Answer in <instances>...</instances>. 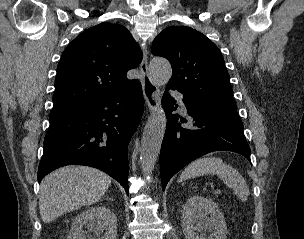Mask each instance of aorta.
I'll use <instances>...</instances> for the list:
<instances>
[{"instance_id": "obj_1", "label": "aorta", "mask_w": 304, "mask_h": 239, "mask_svg": "<svg viewBox=\"0 0 304 239\" xmlns=\"http://www.w3.org/2000/svg\"><path fill=\"white\" fill-rule=\"evenodd\" d=\"M150 78L158 86L165 85L172 76V68L168 60L156 57L151 60ZM166 115L160 103H157L145 125L140 149V163L148 182H152V172L160 153L162 140L166 130Z\"/></svg>"}]
</instances>
